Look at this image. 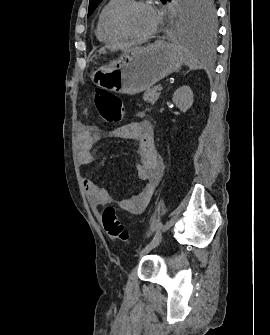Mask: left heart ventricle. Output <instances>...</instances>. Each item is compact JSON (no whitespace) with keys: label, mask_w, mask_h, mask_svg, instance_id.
Returning a JSON list of instances; mask_svg holds the SVG:
<instances>
[{"label":"left heart ventricle","mask_w":270,"mask_h":335,"mask_svg":"<svg viewBox=\"0 0 270 335\" xmlns=\"http://www.w3.org/2000/svg\"><path fill=\"white\" fill-rule=\"evenodd\" d=\"M125 26L133 34L142 35L150 31L151 17L144 7H134L125 16Z\"/></svg>","instance_id":"obj_1"}]
</instances>
